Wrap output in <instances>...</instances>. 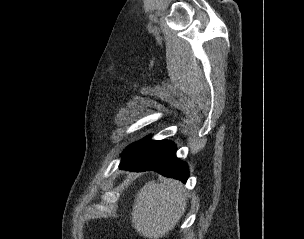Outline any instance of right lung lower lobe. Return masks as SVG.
I'll use <instances>...</instances> for the list:
<instances>
[{"label": "right lung lower lobe", "instance_id": "obj_1", "mask_svg": "<svg viewBox=\"0 0 304 239\" xmlns=\"http://www.w3.org/2000/svg\"><path fill=\"white\" fill-rule=\"evenodd\" d=\"M120 168L129 171H156L163 176L186 182L189 169L176 157V145L171 141L144 138L123 153Z\"/></svg>", "mask_w": 304, "mask_h": 239}]
</instances>
